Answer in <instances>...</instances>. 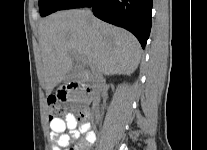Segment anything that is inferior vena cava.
<instances>
[{"label":"inferior vena cava","mask_w":207,"mask_h":150,"mask_svg":"<svg viewBox=\"0 0 207 150\" xmlns=\"http://www.w3.org/2000/svg\"><path fill=\"white\" fill-rule=\"evenodd\" d=\"M85 12L88 17H92V12L90 9L85 10ZM94 81H95V85L97 88V93L99 94V89L101 88V86L104 83V79H103L102 74L99 70L95 73Z\"/></svg>","instance_id":"obj_1"}]
</instances>
